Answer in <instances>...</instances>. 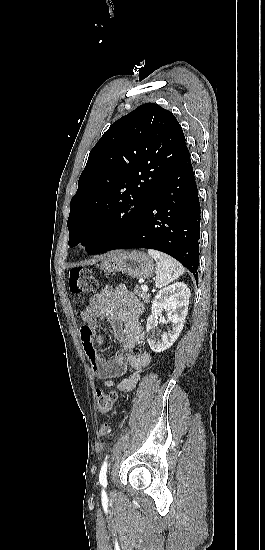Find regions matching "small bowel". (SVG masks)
I'll return each instance as SVG.
<instances>
[{"instance_id": "1", "label": "small bowel", "mask_w": 265, "mask_h": 550, "mask_svg": "<svg viewBox=\"0 0 265 550\" xmlns=\"http://www.w3.org/2000/svg\"><path fill=\"white\" fill-rule=\"evenodd\" d=\"M143 307L136 296L123 286L105 287L98 295L92 297L81 312L84 326L81 329V340L86 357L93 374L107 387H115L121 392L133 390L143 370L151 363L147 351L134 353L136 346L145 344L144 328L140 324ZM105 318L114 337L120 342L119 349L113 357H102L96 346L105 343L102 335L97 333V323ZM128 367L134 372L115 383L114 379L123 376Z\"/></svg>"}]
</instances>
